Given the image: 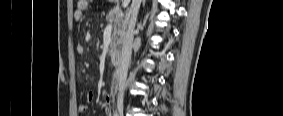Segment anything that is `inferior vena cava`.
Listing matches in <instances>:
<instances>
[{"instance_id":"1","label":"inferior vena cava","mask_w":283,"mask_h":116,"mask_svg":"<svg viewBox=\"0 0 283 116\" xmlns=\"http://www.w3.org/2000/svg\"><path fill=\"white\" fill-rule=\"evenodd\" d=\"M142 0H132L130 9V20L128 23V29L123 38L122 52L120 65L117 69V78L119 81V93L117 97V102L121 103L123 101V86L127 79L128 68L132 53V42L134 35V28L137 20L138 10L140 8Z\"/></svg>"}]
</instances>
